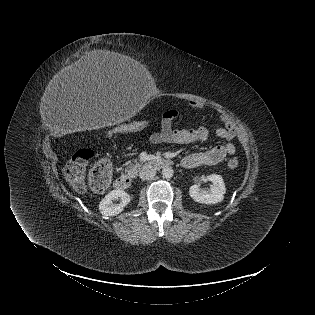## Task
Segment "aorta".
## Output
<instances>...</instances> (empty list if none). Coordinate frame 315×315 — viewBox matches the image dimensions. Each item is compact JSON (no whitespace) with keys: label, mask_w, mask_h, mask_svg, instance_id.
I'll use <instances>...</instances> for the list:
<instances>
[{"label":"aorta","mask_w":315,"mask_h":315,"mask_svg":"<svg viewBox=\"0 0 315 315\" xmlns=\"http://www.w3.org/2000/svg\"><path fill=\"white\" fill-rule=\"evenodd\" d=\"M173 174H174V170L171 168V167H165L163 170H162V175L164 178L166 179H170L173 177Z\"/></svg>","instance_id":"1"}]
</instances>
